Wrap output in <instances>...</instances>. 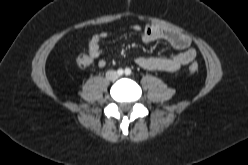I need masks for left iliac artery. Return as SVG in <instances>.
I'll use <instances>...</instances> for the list:
<instances>
[{"label":"left iliac artery","mask_w":248,"mask_h":165,"mask_svg":"<svg viewBox=\"0 0 248 165\" xmlns=\"http://www.w3.org/2000/svg\"><path fill=\"white\" fill-rule=\"evenodd\" d=\"M125 74L126 75H130L131 74V70L129 68L125 69Z\"/></svg>","instance_id":"1"}]
</instances>
